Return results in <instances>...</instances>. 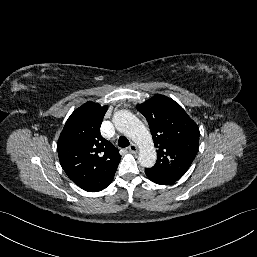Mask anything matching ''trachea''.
Instances as JSON below:
<instances>
[{
    "mask_svg": "<svg viewBox=\"0 0 257 257\" xmlns=\"http://www.w3.org/2000/svg\"><path fill=\"white\" fill-rule=\"evenodd\" d=\"M130 144L129 140L124 137V136H120L119 140H118V145L122 148L128 147Z\"/></svg>",
    "mask_w": 257,
    "mask_h": 257,
    "instance_id": "trachea-1",
    "label": "trachea"
}]
</instances>
